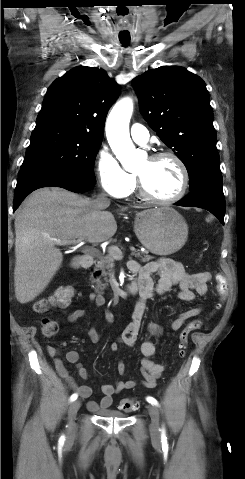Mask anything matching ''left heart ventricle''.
<instances>
[{
  "mask_svg": "<svg viewBox=\"0 0 245 479\" xmlns=\"http://www.w3.org/2000/svg\"><path fill=\"white\" fill-rule=\"evenodd\" d=\"M136 173L142 176L148 192L160 199L172 197L180 187V169L170 158L156 161H150L147 158L142 162Z\"/></svg>",
  "mask_w": 245,
  "mask_h": 479,
  "instance_id": "b2bd125f",
  "label": "left heart ventricle"
}]
</instances>
